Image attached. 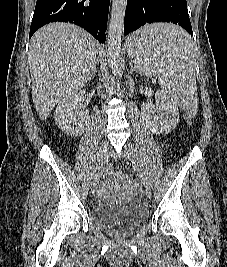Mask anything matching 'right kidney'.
<instances>
[{"mask_svg": "<svg viewBox=\"0 0 227 267\" xmlns=\"http://www.w3.org/2000/svg\"><path fill=\"white\" fill-rule=\"evenodd\" d=\"M85 91L73 92L63 98L56 107L54 118L56 125L67 135L77 137L84 133L89 121L87 111H79L78 104Z\"/></svg>", "mask_w": 227, "mask_h": 267, "instance_id": "ca27d5eb", "label": "right kidney"}]
</instances>
